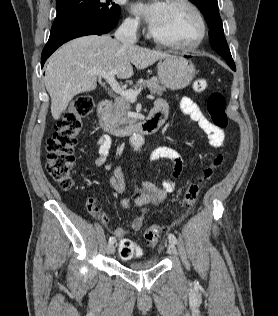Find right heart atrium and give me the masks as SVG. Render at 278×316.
I'll return each mask as SVG.
<instances>
[{
  "label": "right heart atrium",
  "instance_id": "right-heart-atrium-1",
  "mask_svg": "<svg viewBox=\"0 0 278 316\" xmlns=\"http://www.w3.org/2000/svg\"><path fill=\"white\" fill-rule=\"evenodd\" d=\"M124 31L130 35H136L141 30V23L137 18L127 17L122 24Z\"/></svg>",
  "mask_w": 278,
  "mask_h": 316
}]
</instances>
